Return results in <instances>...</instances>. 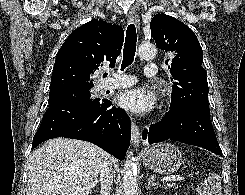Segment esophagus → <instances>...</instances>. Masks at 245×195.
Instances as JSON below:
<instances>
[{"instance_id":"esophagus-1","label":"esophagus","mask_w":245,"mask_h":195,"mask_svg":"<svg viewBox=\"0 0 245 195\" xmlns=\"http://www.w3.org/2000/svg\"><path fill=\"white\" fill-rule=\"evenodd\" d=\"M128 22L130 24H134L137 29L140 27V22H139V16L137 12L135 11H130L128 14ZM141 140V135H140V130L139 127L132 122L131 123V142L134 148H137L139 146Z\"/></svg>"}]
</instances>
